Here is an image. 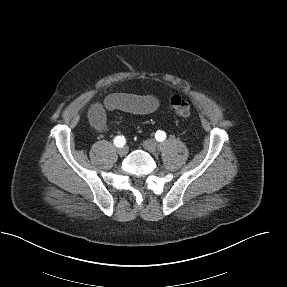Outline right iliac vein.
<instances>
[{
  "instance_id": "obj_1",
  "label": "right iliac vein",
  "mask_w": 287,
  "mask_h": 287,
  "mask_svg": "<svg viewBox=\"0 0 287 287\" xmlns=\"http://www.w3.org/2000/svg\"><path fill=\"white\" fill-rule=\"evenodd\" d=\"M128 153V147L124 146L118 149V154L120 156H125Z\"/></svg>"
}]
</instances>
